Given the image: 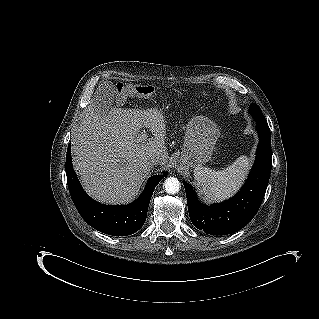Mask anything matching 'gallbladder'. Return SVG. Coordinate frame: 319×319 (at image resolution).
Returning <instances> with one entry per match:
<instances>
[{
    "label": "gallbladder",
    "instance_id": "bac80fb5",
    "mask_svg": "<svg viewBox=\"0 0 319 319\" xmlns=\"http://www.w3.org/2000/svg\"><path fill=\"white\" fill-rule=\"evenodd\" d=\"M95 103L101 111H107L112 105V95H97Z\"/></svg>",
    "mask_w": 319,
    "mask_h": 319
}]
</instances>
